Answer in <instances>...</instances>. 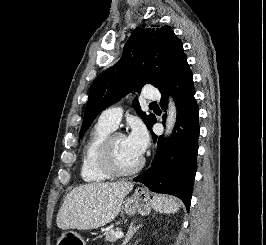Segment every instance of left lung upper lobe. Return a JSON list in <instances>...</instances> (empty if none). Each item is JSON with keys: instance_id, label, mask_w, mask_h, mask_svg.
Returning a JSON list of instances; mask_svg holds the SVG:
<instances>
[{"instance_id": "1", "label": "left lung upper lobe", "mask_w": 266, "mask_h": 245, "mask_svg": "<svg viewBox=\"0 0 266 245\" xmlns=\"http://www.w3.org/2000/svg\"><path fill=\"white\" fill-rule=\"evenodd\" d=\"M184 58L182 42L170 26L137 27L126 42L119 62L92 83L79 138L102 110L129 92H140L146 83L161 90ZM151 68L154 71H150ZM134 104L137 114L149 128L155 116L143 113L137 100Z\"/></svg>"}]
</instances>
